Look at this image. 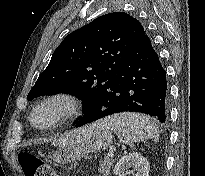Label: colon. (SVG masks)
I'll return each instance as SVG.
<instances>
[{"mask_svg":"<svg viewBox=\"0 0 205 176\" xmlns=\"http://www.w3.org/2000/svg\"><path fill=\"white\" fill-rule=\"evenodd\" d=\"M17 161L23 176H54L49 165L31 152L21 151L17 156Z\"/></svg>","mask_w":205,"mask_h":176,"instance_id":"colon-1","label":"colon"}]
</instances>
